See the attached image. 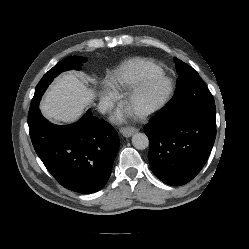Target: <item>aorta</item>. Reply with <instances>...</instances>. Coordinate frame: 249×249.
<instances>
[{
	"instance_id": "1",
	"label": "aorta",
	"mask_w": 249,
	"mask_h": 249,
	"mask_svg": "<svg viewBox=\"0 0 249 249\" xmlns=\"http://www.w3.org/2000/svg\"><path fill=\"white\" fill-rule=\"evenodd\" d=\"M132 144L138 150H144L149 146V140L144 133H135L132 136Z\"/></svg>"
}]
</instances>
